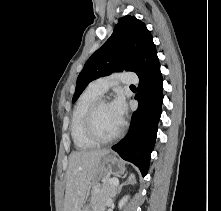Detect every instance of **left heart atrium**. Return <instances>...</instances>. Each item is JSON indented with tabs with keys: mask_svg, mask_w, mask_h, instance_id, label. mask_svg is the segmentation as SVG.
Instances as JSON below:
<instances>
[{
	"mask_svg": "<svg viewBox=\"0 0 221 211\" xmlns=\"http://www.w3.org/2000/svg\"><path fill=\"white\" fill-rule=\"evenodd\" d=\"M112 112L120 124H122L124 116L126 114V102L122 95H117L115 99L110 103Z\"/></svg>",
	"mask_w": 221,
	"mask_h": 211,
	"instance_id": "obj_1",
	"label": "left heart atrium"
}]
</instances>
